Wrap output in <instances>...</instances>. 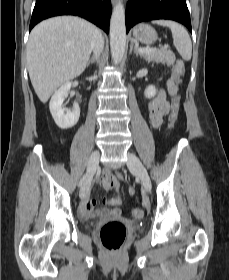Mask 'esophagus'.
<instances>
[{"label":"esophagus","mask_w":229,"mask_h":280,"mask_svg":"<svg viewBox=\"0 0 229 280\" xmlns=\"http://www.w3.org/2000/svg\"><path fill=\"white\" fill-rule=\"evenodd\" d=\"M112 4L115 5L117 3V0H111Z\"/></svg>","instance_id":"34e87169"}]
</instances>
